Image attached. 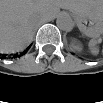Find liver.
Returning a JSON list of instances; mask_svg holds the SVG:
<instances>
[{"mask_svg":"<svg viewBox=\"0 0 103 103\" xmlns=\"http://www.w3.org/2000/svg\"><path fill=\"white\" fill-rule=\"evenodd\" d=\"M73 3L71 0H2L1 51L13 53L24 49L32 40V30L38 20L54 19L60 8L71 11Z\"/></svg>","mask_w":103,"mask_h":103,"instance_id":"1","label":"liver"}]
</instances>
